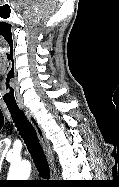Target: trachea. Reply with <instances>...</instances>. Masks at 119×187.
<instances>
[{"instance_id":"3493384b","label":"trachea","mask_w":119,"mask_h":187,"mask_svg":"<svg viewBox=\"0 0 119 187\" xmlns=\"http://www.w3.org/2000/svg\"><path fill=\"white\" fill-rule=\"evenodd\" d=\"M7 108L11 114L15 126L17 127V130L19 131V134L25 141L39 174L43 178H50L49 164L39 143L34 126L27 119L26 115L18 105L7 104Z\"/></svg>"}]
</instances>
